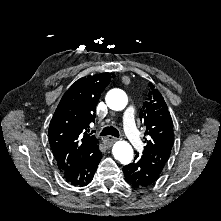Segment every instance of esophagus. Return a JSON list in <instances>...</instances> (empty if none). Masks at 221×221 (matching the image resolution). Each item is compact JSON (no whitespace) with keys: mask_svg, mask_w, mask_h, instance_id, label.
I'll use <instances>...</instances> for the list:
<instances>
[{"mask_svg":"<svg viewBox=\"0 0 221 221\" xmlns=\"http://www.w3.org/2000/svg\"><path fill=\"white\" fill-rule=\"evenodd\" d=\"M117 139L111 136L105 138V144L111 146Z\"/></svg>","mask_w":221,"mask_h":221,"instance_id":"obj_1","label":"esophagus"}]
</instances>
